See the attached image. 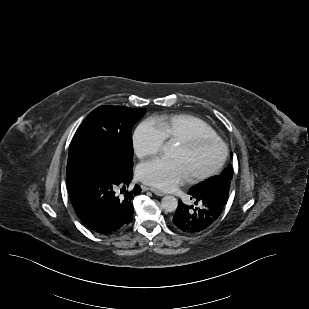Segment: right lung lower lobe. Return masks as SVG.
<instances>
[{
    "label": "right lung lower lobe",
    "instance_id": "98d812e1",
    "mask_svg": "<svg viewBox=\"0 0 309 309\" xmlns=\"http://www.w3.org/2000/svg\"><path fill=\"white\" fill-rule=\"evenodd\" d=\"M132 167L119 169L114 163L92 155L69 156V195L78 217L88 228L107 235L123 230L131 222L132 201L141 192L139 185L126 190L133 177Z\"/></svg>",
    "mask_w": 309,
    "mask_h": 309
}]
</instances>
